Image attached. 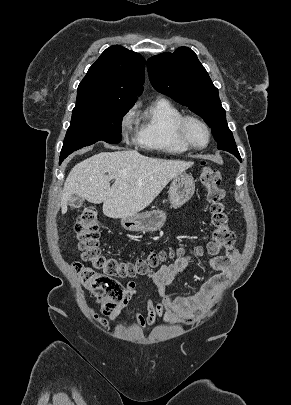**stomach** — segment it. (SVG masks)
<instances>
[{"mask_svg":"<svg viewBox=\"0 0 291 405\" xmlns=\"http://www.w3.org/2000/svg\"><path fill=\"white\" fill-rule=\"evenodd\" d=\"M195 191L193 177L180 173L174 177L169 188V201L171 207L179 208L191 199ZM166 221V213L162 210H151L123 217L121 225L128 231L154 232L160 230Z\"/></svg>","mask_w":291,"mask_h":405,"instance_id":"1","label":"stomach"}]
</instances>
